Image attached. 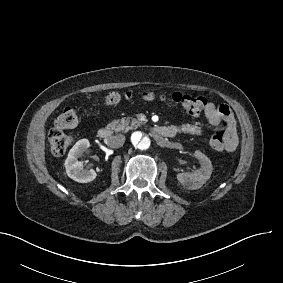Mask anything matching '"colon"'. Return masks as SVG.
<instances>
[{"mask_svg":"<svg viewBox=\"0 0 283 283\" xmlns=\"http://www.w3.org/2000/svg\"><path fill=\"white\" fill-rule=\"evenodd\" d=\"M145 101L158 100L160 102L172 101L173 103L180 106L183 112L189 116H196L202 113L204 110L207 99L203 96L189 95L183 93H174L173 95H168L165 93H153L146 92L142 94ZM134 95L132 93L126 92L124 94L118 92H112L106 98L107 104H116L122 99L132 100ZM78 125V115L74 108L66 107L63 109L57 120L56 128L52 129L49 133V150L51 153L60 155L65 153L72 145L71 136L65 131L67 128H74ZM226 127V122L223 121L220 128L210 138V145L212 150L216 152H221L225 149L224 142V128Z\"/></svg>","mask_w":283,"mask_h":283,"instance_id":"obj_1","label":"colon"}]
</instances>
